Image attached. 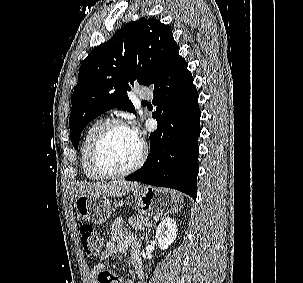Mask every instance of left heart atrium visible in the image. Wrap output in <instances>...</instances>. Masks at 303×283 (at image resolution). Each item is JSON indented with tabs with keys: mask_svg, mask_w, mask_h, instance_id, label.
I'll use <instances>...</instances> for the list:
<instances>
[{
	"mask_svg": "<svg viewBox=\"0 0 303 283\" xmlns=\"http://www.w3.org/2000/svg\"><path fill=\"white\" fill-rule=\"evenodd\" d=\"M134 135V137L140 142L141 141V134L136 125H133L131 128H129Z\"/></svg>",
	"mask_w": 303,
	"mask_h": 283,
	"instance_id": "1",
	"label": "left heart atrium"
}]
</instances>
